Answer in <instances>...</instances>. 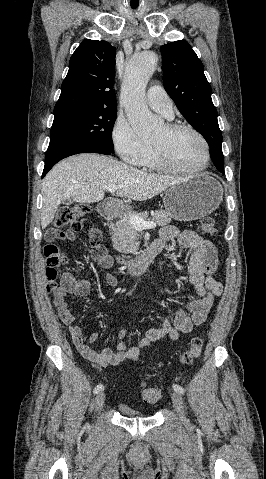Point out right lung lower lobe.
<instances>
[{"mask_svg":"<svg viewBox=\"0 0 266 479\" xmlns=\"http://www.w3.org/2000/svg\"><path fill=\"white\" fill-rule=\"evenodd\" d=\"M78 153H100L110 155L112 152L101 147L82 144L68 140L54 139L50 144L45 157V166L42 178L61 159Z\"/></svg>","mask_w":266,"mask_h":479,"instance_id":"obj_1","label":"right lung lower lobe"}]
</instances>
